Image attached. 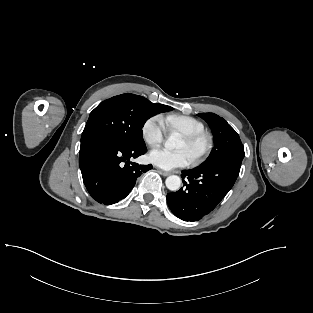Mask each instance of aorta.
<instances>
[{
	"label": "aorta",
	"instance_id": "1",
	"mask_svg": "<svg viewBox=\"0 0 313 313\" xmlns=\"http://www.w3.org/2000/svg\"><path fill=\"white\" fill-rule=\"evenodd\" d=\"M178 141V137L175 134H171L165 142V147L168 149H173L175 148ZM165 184L169 190L177 191L181 187V178L177 175H171L166 178Z\"/></svg>",
	"mask_w": 313,
	"mask_h": 313
}]
</instances>
